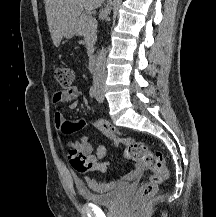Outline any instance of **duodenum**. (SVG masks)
Segmentation results:
<instances>
[{
	"label": "duodenum",
	"mask_w": 216,
	"mask_h": 217,
	"mask_svg": "<svg viewBox=\"0 0 216 217\" xmlns=\"http://www.w3.org/2000/svg\"><path fill=\"white\" fill-rule=\"evenodd\" d=\"M95 63H96V58L93 52L90 53L89 55V60H88V68L90 71H93L95 68Z\"/></svg>",
	"instance_id": "obj_1"
}]
</instances>
